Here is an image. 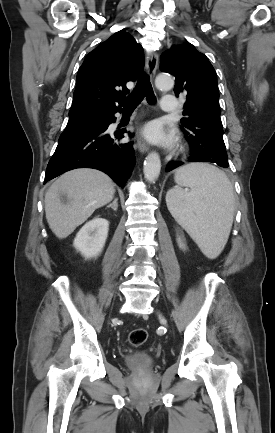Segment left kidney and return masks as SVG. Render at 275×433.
<instances>
[{"label":"left kidney","mask_w":275,"mask_h":433,"mask_svg":"<svg viewBox=\"0 0 275 433\" xmlns=\"http://www.w3.org/2000/svg\"><path fill=\"white\" fill-rule=\"evenodd\" d=\"M178 243H179V246H180L181 248H183V244L181 243L180 239H178Z\"/></svg>","instance_id":"left-kidney-1"}]
</instances>
